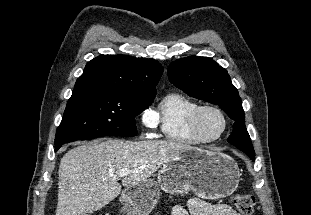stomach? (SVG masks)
<instances>
[{
  "mask_svg": "<svg viewBox=\"0 0 311 215\" xmlns=\"http://www.w3.org/2000/svg\"><path fill=\"white\" fill-rule=\"evenodd\" d=\"M239 168L230 156L201 148H192L164 164L157 181L149 179L125 189L120 197L125 215H149L160 191L193 193L215 200L231 195L239 184Z\"/></svg>",
  "mask_w": 311,
  "mask_h": 215,
  "instance_id": "stomach-1",
  "label": "stomach"
}]
</instances>
